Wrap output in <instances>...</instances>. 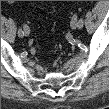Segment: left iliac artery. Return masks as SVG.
<instances>
[{
	"label": "left iliac artery",
	"instance_id": "left-iliac-artery-1",
	"mask_svg": "<svg viewBox=\"0 0 109 109\" xmlns=\"http://www.w3.org/2000/svg\"><path fill=\"white\" fill-rule=\"evenodd\" d=\"M83 23H84V20H83V17H81L79 19V28H82L83 27Z\"/></svg>",
	"mask_w": 109,
	"mask_h": 109
}]
</instances>
